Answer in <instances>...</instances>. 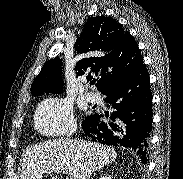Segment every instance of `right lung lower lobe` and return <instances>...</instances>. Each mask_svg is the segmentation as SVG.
Instances as JSON below:
<instances>
[{
  "label": "right lung lower lobe",
  "instance_id": "obj_1",
  "mask_svg": "<svg viewBox=\"0 0 183 179\" xmlns=\"http://www.w3.org/2000/svg\"><path fill=\"white\" fill-rule=\"evenodd\" d=\"M115 109L111 116L92 114L82 122L85 135L104 145L133 149L147 163V148L152 130V91L143 63L134 73L108 85L101 91Z\"/></svg>",
  "mask_w": 183,
  "mask_h": 179
}]
</instances>
